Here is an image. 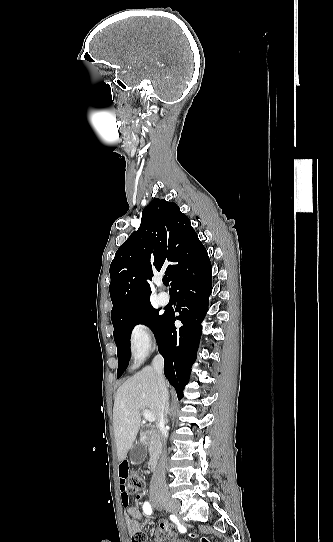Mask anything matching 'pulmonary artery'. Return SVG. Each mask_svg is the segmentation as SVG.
<instances>
[{"label": "pulmonary artery", "instance_id": "e3ab8cb5", "mask_svg": "<svg viewBox=\"0 0 333 542\" xmlns=\"http://www.w3.org/2000/svg\"><path fill=\"white\" fill-rule=\"evenodd\" d=\"M164 290H165L164 288L159 289L160 293H164ZM167 303H168V301H166V300H161V304H162V305H166Z\"/></svg>", "mask_w": 333, "mask_h": 542}]
</instances>
